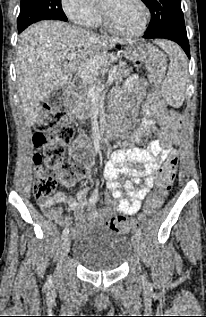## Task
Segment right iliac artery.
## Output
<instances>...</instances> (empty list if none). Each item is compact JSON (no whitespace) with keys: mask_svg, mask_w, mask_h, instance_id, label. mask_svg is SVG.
<instances>
[{"mask_svg":"<svg viewBox=\"0 0 206 317\" xmlns=\"http://www.w3.org/2000/svg\"><path fill=\"white\" fill-rule=\"evenodd\" d=\"M69 234V229L68 228H65L62 232V238H65L67 237V235ZM48 282L50 283L51 282V276L48 278Z\"/></svg>","mask_w":206,"mask_h":317,"instance_id":"1","label":"right iliac artery"}]
</instances>
